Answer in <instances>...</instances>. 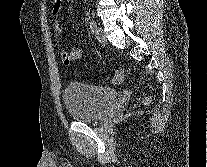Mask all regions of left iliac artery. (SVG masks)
<instances>
[{"mask_svg": "<svg viewBox=\"0 0 207 167\" xmlns=\"http://www.w3.org/2000/svg\"><path fill=\"white\" fill-rule=\"evenodd\" d=\"M96 27H97L96 22L94 20H91L90 21V30L92 33H94L96 31Z\"/></svg>", "mask_w": 207, "mask_h": 167, "instance_id": "obj_1", "label": "left iliac artery"}]
</instances>
